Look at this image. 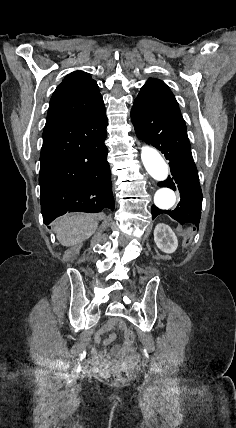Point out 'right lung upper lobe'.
Here are the masks:
<instances>
[{
  "mask_svg": "<svg viewBox=\"0 0 236 428\" xmlns=\"http://www.w3.org/2000/svg\"><path fill=\"white\" fill-rule=\"evenodd\" d=\"M104 109L96 81L86 72L75 71L67 75L54 91L45 127L88 118Z\"/></svg>",
  "mask_w": 236,
  "mask_h": 428,
  "instance_id": "obj_1",
  "label": "right lung upper lobe"
}]
</instances>
